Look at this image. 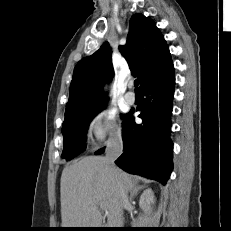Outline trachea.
Instances as JSON below:
<instances>
[{
	"instance_id": "obj_1",
	"label": "trachea",
	"mask_w": 231,
	"mask_h": 231,
	"mask_svg": "<svg viewBox=\"0 0 231 231\" xmlns=\"http://www.w3.org/2000/svg\"><path fill=\"white\" fill-rule=\"evenodd\" d=\"M138 85H139V81H138V80H135V81H134V86H135V91H136V92L139 91Z\"/></svg>"
}]
</instances>
